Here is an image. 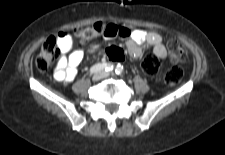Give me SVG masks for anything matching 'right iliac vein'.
Instances as JSON below:
<instances>
[{
    "label": "right iliac vein",
    "instance_id": "63e3f726",
    "mask_svg": "<svg viewBox=\"0 0 225 155\" xmlns=\"http://www.w3.org/2000/svg\"><path fill=\"white\" fill-rule=\"evenodd\" d=\"M102 78H103L102 72H97L96 74L93 75L92 80L93 81H99Z\"/></svg>",
    "mask_w": 225,
    "mask_h": 155
}]
</instances>
